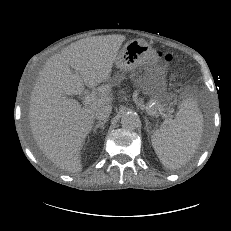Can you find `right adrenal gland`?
Returning <instances> with one entry per match:
<instances>
[{
	"instance_id": "right-adrenal-gland-1",
	"label": "right adrenal gland",
	"mask_w": 231,
	"mask_h": 231,
	"mask_svg": "<svg viewBox=\"0 0 231 231\" xmlns=\"http://www.w3.org/2000/svg\"><path fill=\"white\" fill-rule=\"evenodd\" d=\"M106 122H107V120L98 122L93 128V133L96 134L98 128H101L102 131H103L104 130V125H105Z\"/></svg>"
}]
</instances>
